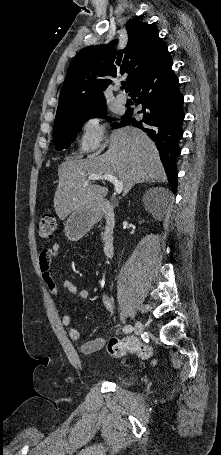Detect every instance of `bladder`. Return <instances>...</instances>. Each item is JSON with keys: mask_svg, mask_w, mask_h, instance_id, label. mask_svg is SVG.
I'll return each instance as SVG.
<instances>
[{"mask_svg": "<svg viewBox=\"0 0 221 455\" xmlns=\"http://www.w3.org/2000/svg\"><path fill=\"white\" fill-rule=\"evenodd\" d=\"M120 383L122 385L127 386V385H130L132 383V379L128 378V377H125V378L120 379Z\"/></svg>", "mask_w": 221, "mask_h": 455, "instance_id": "31cf9c89", "label": "bladder"}]
</instances>
